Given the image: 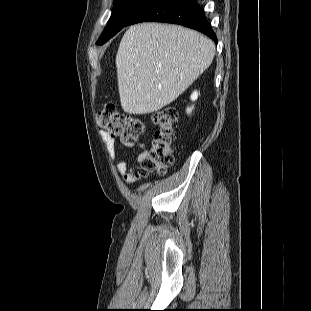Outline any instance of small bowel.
Masks as SVG:
<instances>
[{
	"label": "small bowel",
	"instance_id": "small-bowel-1",
	"mask_svg": "<svg viewBox=\"0 0 311 311\" xmlns=\"http://www.w3.org/2000/svg\"><path fill=\"white\" fill-rule=\"evenodd\" d=\"M100 135L103 142L106 145L107 153L112 159L115 160L117 158V148L115 138L106 132H101ZM120 143L126 147H137L140 149V153L137 157L138 164L136 166H130L128 162L123 159L117 162V171L119 175L123 178V180L127 184H130L134 182L139 176L138 172L139 164L147 152L146 145L143 142H132L124 138L120 139Z\"/></svg>",
	"mask_w": 311,
	"mask_h": 311
}]
</instances>
